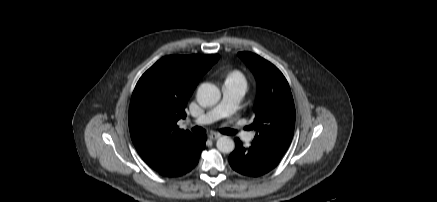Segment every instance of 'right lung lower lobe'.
<instances>
[{"label":"right lung lower lobe","instance_id":"obj_1","mask_svg":"<svg viewBox=\"0 0 437 202\" xmlns=\"http://www.w3.org/2000/svg\"><path fill=\"white\" fill-rule=\"evenodd\" d=\"M206 135L195 136L183 151L156 171L165 177H179L196 167L201 151L205 148Z\"/></svg>","mask_w":437,"mask_h":202}]
</instances>
